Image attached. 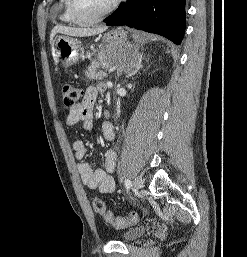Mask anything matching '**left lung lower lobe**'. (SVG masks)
Returning <instances> with one entry per match:
<instances>
[{"label":"left lung lower lobe","mask_w":247,"mask_h":257,"mask_svg":"<svg viewBox=\"0 0 247 257\" xmlns=\"http://www.w3.org/2000/svg\"><path fill=\"white\" fill-rule=\"evenodd\" d=\"M106 25L134 27L179 45L186 26L185 0H127L109 16Z\"/></svg>","instance_id":"obj_1"}]
</instances>
